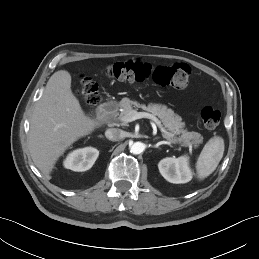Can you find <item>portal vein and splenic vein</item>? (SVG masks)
Returning a JSON list of instances; mask_svg holds the SVG:
<instances>
[{
  "mask_svg": "<svg viewBox=\"0 0 259 259\" xmlns=\"http://www.w3.org/2000/svg\"><path fill=\"white\" fill-rule=\"evenodd\" d=\"M141 118L150 119L154 124H156L158 126V128L160 129L161 132H163L164 134H168V132L165 130V128L161 124V121L156 116H154L150 113H147V112H137L136 110H131L130 112H128L126 115H124L121 118V121L123 123H129V122L135 121L137 119H141Z\"/></svg>",
  "mask_w": 259,
  "mask_h": 259,
  "instance_id": "18ae733b",
  "label": "portal vein and splenic vein"
}]
</instances>
